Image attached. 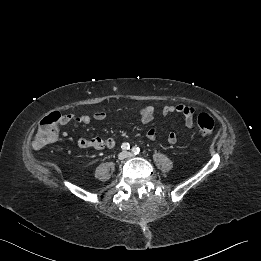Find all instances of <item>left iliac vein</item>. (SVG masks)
<instances>
[{
    "label": "left iliac vein",
    "mask_w": 261,
    "mask_h": 261,
    "mask_svg": "<svg viewBox=\"0 0 261 261\" xmlns=\"http://www.w3.org/2000/svg\"><path fill=\"white\" fill-rule=\"evenodd\" d=\"M134 155L131 153V152H127L126 153V157H128V158H131V157H133Z\"/></svg>",
    "instance_id": "4c4485c4"
}]
</instances>
